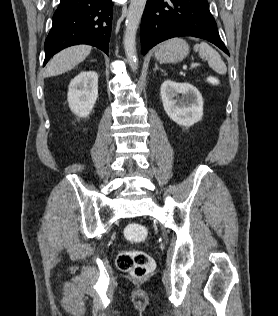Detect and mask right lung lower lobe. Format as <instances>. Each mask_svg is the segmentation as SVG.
Returning a JSON list of instances; mask_svg holds the SVG:
<instances>
[{"mask_svg":"<svg viewBox=\"0 0 278 316\" xmlns=\"http://www.w3.org/2000/svg\"><path fill=\"white\" fill-rule=\"evenodd\" d=\"M111 0H61L45 40V60L77 44L96 46L108 54L112 24Z\"/></svg>","mask_w":278,"mask_h":316,"instance_id":"1","label":"right lung lower lobe"}]
</instances>
